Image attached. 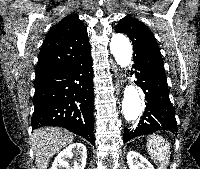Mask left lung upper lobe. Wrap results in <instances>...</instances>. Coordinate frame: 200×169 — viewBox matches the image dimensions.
Returning <instances> with one entry per match:
<instances>
[{"instance_id":"1","label":"left lung upper lobe","mask_w":200,"mask_h":169,"mask_svg":"<svg viewBox=\"0 0 200 169\" xmlns=\"http://www.w3.org/2000/svg\"><path fill=\"white\" fill-rule=\"evenodd\" d=\"M115 31L127 34L132 40L135 64L148 66L166 76L157 42L144 23L128 15L119 21Z\"/></svg>"}]
</instances>
